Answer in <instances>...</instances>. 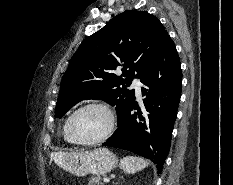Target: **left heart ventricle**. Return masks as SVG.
I'll return each mask as SVG.
<instances>
[{"instance_id":"b2bd125f","label":"left heart ventricle","mask_w":233,"mask_h":185,"mask_svg":"<svg viewBox=\"0 0 233 185\" xmlns=\"http://www.w3.org/2000/svg\"><path fill=\"white\" fill-rule=\"evenodd\" d=\"M109 126L107 113L99 108H89L79 112L73 119L72 130L82 140L102 135Z\"/></svg>"}]
</instances>
